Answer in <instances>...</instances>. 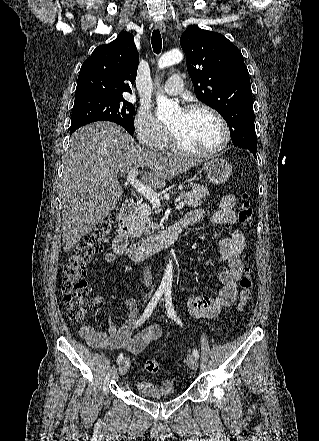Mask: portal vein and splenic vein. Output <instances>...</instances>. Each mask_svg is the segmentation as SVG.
I'll return each mask as SVG.
<instances>
[{"mask_svg": "<svg viewBox=\"0 0 319 441\" xmlns=\"http://www.w3.org/2000/svg\"><path fill=\"white\" fill-rule=\"evenodd\" d=\"M138 173V170L130 171L127 174V181L130 182L133 188L145 196L154 206L159 208L161 206L159 195L149 186L137 179ZM183 206L184 202H180L177 204L176 209H181Z\"/></svg>", "mask_w": 319, "mask_h": 441, "instance_id": "obj_1", "label": "portal vein and splenic vein"}]
</instances>
